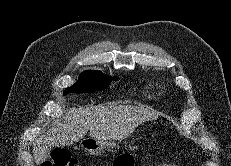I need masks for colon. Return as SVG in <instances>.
Segmentation results:
<instances>
[{
  "instance_id": "5ec220e1",
  "label": "colon",
  "mask_w": 231,
  "mask_h": 166,
  "mask_svg": "<svg viewBox=\"0 0 231 166\" xmlns=\"http://www.w3.org/2000/svg\"><path fill=\"white\" fill-rule=\"evenodd\" d=\"M135 159L131 155H121L117 157L113 166H134ZM42 166H76V161L66 149H55L52 151L50 159Z\"/></svg>"
}]
</instances>
